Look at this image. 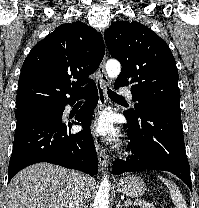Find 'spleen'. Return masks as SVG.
Listing matches in <instances>:
<instances>
[{"mask_svg":"<svg viewBox=\"0 0 199 208\" xmlns=\"http://www.w3.org/2000/svg\"><path fill=\"white\" fill-rule=\"evenodd\" d=\"M159 179L168 187L172 201L174 205H176V208H187L186 201L182 197L178 187L166 178L159 176Z\"/></svg>","mask_w":199,"mask_h":208,"instance_id":"obj_1","label":"spleen"}]
</instances>
